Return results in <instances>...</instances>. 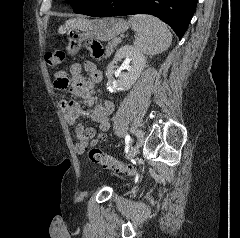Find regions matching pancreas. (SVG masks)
Masks as SVG:
<instances>
[{
    "instance_id": "cf45deb5",
    "label": "pancreas",
    "mask_w": 240,
    "mask_h": 238,
    "mask_svg": "<svg viewBox=\"0 0 240 238\" xmlns=\"http://www.w3.org/2000/svg\"><path fill=\"white\" fill-rule=\"evenodd\" d=\"M120 43V41L116 38L113 39L111 42L108 43V45L106 46V51H105V58L109 57L112 52H113V48L116 47L118 44Z\"/></svg>"
}]
</instances>
